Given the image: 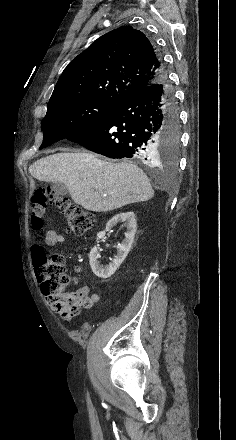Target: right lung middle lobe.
Listing matches in <instances>:
<instances>
[{
  "label": "right lung middle lobe",
  "mask_w": 236,
  "mask_h": 440,
  "mask_svg": "<svg viewBox=\"0 0 236 440\" xmlns=\"http://www.w3.org/2000/svg\"><path fill=\"white\" fill-rule=\"evenodd\" d=\"M119 105L91 98L48 103L42 121L44 139L40 149L91 128ZM179 138V128L167 129L158 141L163 159L172 164L177 160Z\"/></svg>",
  "instance_id": "right-lung-middle-lobe-1"
}]
</instances>
